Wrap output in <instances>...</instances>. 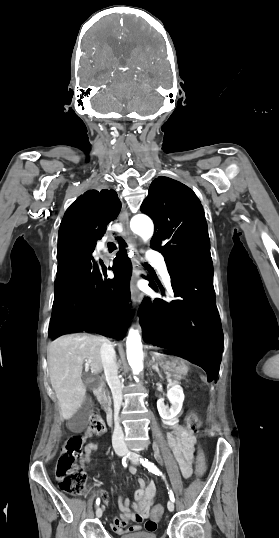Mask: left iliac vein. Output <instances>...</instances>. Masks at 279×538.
<instances>
[{
  "label": "left iliac vein",
  "mask_w": 279,
  "mask_h": 538,
  "mask_svg": "<svg viewBox=\"0 0 279 538\" xmlns=\"http://www.w3.org/2000/svg\"><path fill=\"white\" fill-rule=\"evenodd\" d=\"M138 458H139V456H138L137 454L133 453V454L131 455L130 460H131L134 464H138ZM167 507H168V510H169L170 512H173V511H174V503H173V501H171V500L168 501V503H167Z\"/></svg>",
  "instance_id": "left-iliac-vein-1"
}]
</instances>
